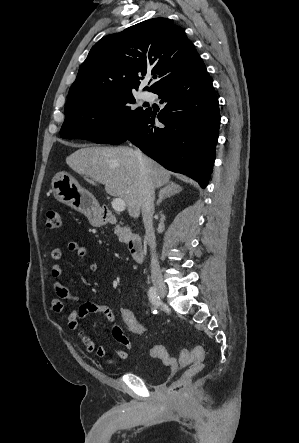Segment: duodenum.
Here are the masks:
<instances>
[{
    "label": "duodenum",
    "mask_w": 299,
    "mask_h": 443,
    "mask_svg": "<svg viewBox=\"0 0 299 443\" xmlns=\"http://www.w3.org/2000/svg\"><path fill=\"white\" fill-rule=\"evenodd\" d=\"M100 219L103 223H108V224L116 223V217L108 209L102 208L100 210ZM127 248L129 250L131 257L135 261L141 262L143 260L144 250H143L142 240L140 237L138 236L130 237L127 241Z\"/></svg>",
    "instance_id": "obj_1"
}]
</instances>
